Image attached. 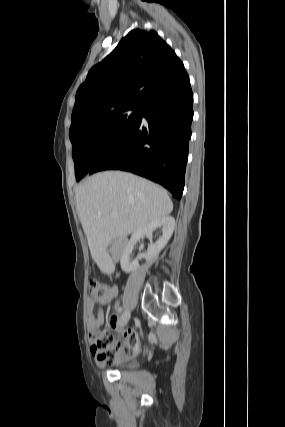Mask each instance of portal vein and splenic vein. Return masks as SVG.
<instances>
[{
	"label": "portal vein and splenic vein",
	"mask_w": 285,
	"mask_h": 427,
	"mask_svg": "<svg viewBox=\"0 0 285 427\" xmlns=\"http://www.w3.org/2000/svg\"><path fill=\"white\" fill-rule=\"evenodd\" d=\"M111 216H112V217H117V216H118V212H117V211H113V212H111Z\"/></svg>",
	"instance_id": "1"
}]
</instances>
